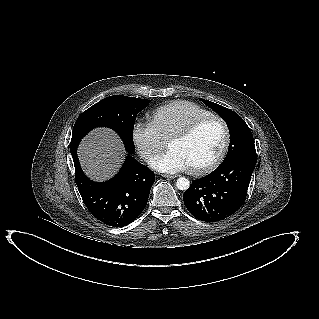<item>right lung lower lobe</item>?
Instances as JSON below:
<instances>
[{
  "mask_svg": "<svg viewBox=\"0 0 319 319\" xmlns=\"http://www.w3.org/2000/svg\"><path fill=\"white\" fill-rule=\"evenodd\" d=\"M77 147L70 146L75 182L88 210L97 220L109 226L123 227L133 222L147 204L155 180L154 173L128 155L114 178L103 183L93 182L80 167Z\"/></svg>",
  "mask_w": 319,
  "mask_h": 319,
  "instance_id": "obj_1",
  "label": "right lung lower lobe"
}]
</instances>
